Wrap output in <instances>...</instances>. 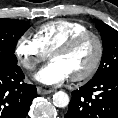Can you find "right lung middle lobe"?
Returning <instances> with one entry per match:
<instances>
[{
	"instance_id": "right-lung-middle-lobe-1",
	"label": "right lung middle lobe",
	"mask_w": 118,
	"mask_h": 118,
	"mask_svg": "<svg viewBox=\"0 0 118 118\" xmlns=\"http://www.w3.org/2000/svg\"><path fill=\"white\" fill-rule=\"evenodd\" d=\"M29 27V23L25 21L0 19V66L17 65L15 47Z\"/></svg>"
}]
</instances>
